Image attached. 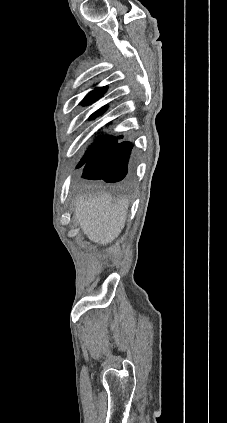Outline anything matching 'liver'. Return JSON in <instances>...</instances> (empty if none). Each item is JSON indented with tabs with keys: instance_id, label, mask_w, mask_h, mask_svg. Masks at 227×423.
I'll return each mask as SVG.
<instances>
[{
	"instance_id": "1",
	"label": "liver",
	"mask_w": 227,
	"mask_h": 423,
	"mask_svg": "<svg viewBox=\"0 0 227 423\" xmlns=\"http://www.w3.org/2000/svg\"><path fill=\"white\" fill-rule=\"evenodd\" d=\"M128 200L114 202L109 194L100 196H77L74 221L94 243H112L119 237L126 221Z\"/></svg>"
}]
</instances>
